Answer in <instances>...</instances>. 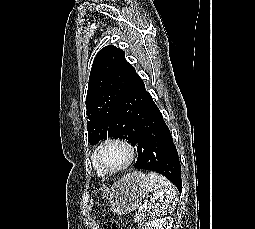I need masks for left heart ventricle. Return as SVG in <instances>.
<instances>
[{
	"label": "left heart ventricle",
	"mask_w": 255,
	"mask_h": 229,
	"mask_svg": "<svg viewBox=\"0 0 255 229\" xmlns=\"http://www.w3.org/2000/svg\"><path fill=\"white\" fill-rule=\"evenodd\" d=\"M100 159L105 166L117 167L125 162L127 159V152L119 145H108L101 151Z\"/></svg>",
	"instance_id": "1"
}]
</instances>
